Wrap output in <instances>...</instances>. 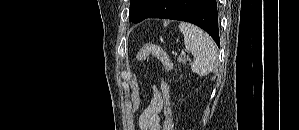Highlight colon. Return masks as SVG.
Segmentation results:
<instances>
[{
  "mask_svg": "<svg viewBox=\"0 0 299 130\" xmlns=\"http://www.w3.org/2000/svg\"><path fill=\"white\" fill-rule=\"evenodd\" d=\"M149 56H153L156 59H158L166 70H170L172 68V61L170 57L157 44L147 43L143 45L137 53V60L140 62H144L148 59ZM162 92L165 101V112L162 130H173V122L171 117L172 113L170 102V87L167 84H163Z\"/></svg>",
  "mask_w": 299,
  "mask_h": 130,
  "instance_id": "obj_1",
  "label": "colon"
}]
</instances>
